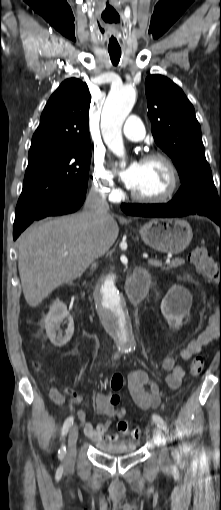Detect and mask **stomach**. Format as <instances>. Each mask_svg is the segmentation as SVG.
<instances>
[{
  "mask_svg": "<svg viewBox=\"0 0 221 510\" xmlns=\"http://www.w3.org/2000/svg\"><path fill=\"white\" fill-rule=\"evenodd\" d=\"M139 232L149 247L172 254L184 251L193 236L189 223L177 218L152 219Z\"/></svg>",
  "mask_w": 221,
  "mask_h": 510,
  "instance_id": "0dacf381",
  "label": "stomach"
}]
</instances>
